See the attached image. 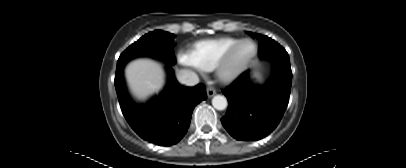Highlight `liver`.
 I'll use <instances>...</instances> for the list:
<instances>
[{
  "mask_svg": "<svg viewBox=\"0 0 406 168\" xmlns=\"http://www.w3.org/2000/svg\"><path fill=\"white\" fill-rule=\"evenodd\" d=\"M126 74L132 92L141 99L158 91L163 84V71L160 65L150 60L132 62Z\"/></svg>",
  "mask_w": 406,
  "mask_h": 168,
  "instance_id": "1",
  "label": "liver"
}]
</instances>
